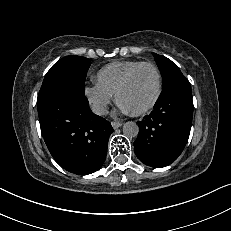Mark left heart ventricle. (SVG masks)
<instances>
[{"label":"left heart ventricle","mask_w":231,"mask_h":231,"mask_svg":"<svg viewBox=\"0 0 231 231\" xmlns=\"http://www.w3.org/2000/svg\"><path fill=\"white\" fill-rule=\"evenodd\" d=\"M156 92V75L149 67L141 68L133 77L128 87L121 93L119 104L130 112L147 106Z\"/></svg>","instance_id":"obj_1"}]
</instances>
